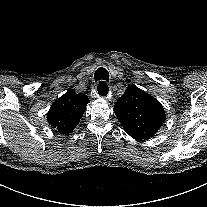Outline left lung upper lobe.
Masks as SVG:
<instances>
[{
    "label": "left lung upper lobe",
    "instance_id": "5c2ea615",
    "mask_svg": "<svg viewBox=\"0 0 207 207\" xmlns=\"http://www.w3.org/2000/svg\"><path fill=\"white\" fill-rule=\"evenodd\" d=\"M114 113L127 134L137 140L154 136L166 119L160 102L134 85L118 99Z\"/></svg>",
    "mask_w": 207,
    "mask_h": 207
}]
</instances>
